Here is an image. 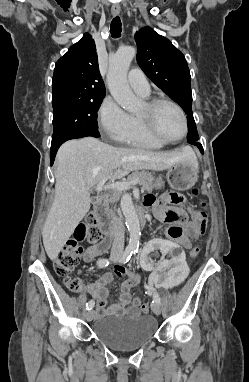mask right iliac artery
<instances>
[{"instance_id": "right-iliac-artery-1", "label": "right iliac artery", "mask_w": 249, "mask_h": 382, "mask_svg": "<svg viewBox=\"0 0 249 382\" xmlns=\"http://www.w3.org/2000/svg\"><path fill=\"white\" fill-rule=\"evenodd\" d=\"M132 253H133V252H132L131 250H125L124 253H123V255H122V257L120 258L119 262H120V263H126V262H128L129 259H130V257H131V255H132ZM109 263H110L109 260L106 259V258L99 259L98 262H97V264H98V266H99L100 268H105V267H107V266L109 265ZM94 304H95V302H94L93 300L88 301V302L86 303V309H87V310L92 309V308L94 307Z\"/></svg>"}]
</instances>
